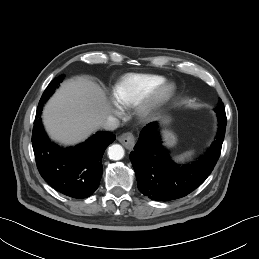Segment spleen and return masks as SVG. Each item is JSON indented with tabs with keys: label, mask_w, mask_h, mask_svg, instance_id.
Masks as SVG:
<instances>
[{
	"label": "spleen",
	"mask_w": 259,
	"mask_h": 259,
	"mask_svg": "<svg viewBox=\"0 0 259 259\" xmlns=\"http://www.w3.org/2000/svg\"><path fill=\"white\" fill-rule=\"evenodd\" d=\"M192 153H193L192 151H189V152H187V153H184L183 155L178 156V157H177V160H179V161H184V159H185L186 157L190 156Z\"/></svg>",
	"instance_id": "obj_1"
}]
</instances>
